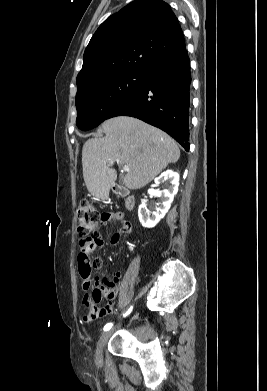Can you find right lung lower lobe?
Here are the masks:
<instances>
[{"mask_svg":"<svg viewBox=\"0 0 267 391\" xmlns=\"http://www.w3.org/2000/svg\"><path fill=\"white\" fill-rule=\"evenodd\" d=\"M191 73L186 48L145 71L141 88L108 118L127 115L156 126L189 150ZM107 118V119H108Z\"/></svg>","mask_w":267,"mask_h":391,"instance_id":"1","label":"right lung lower lobe"}]
</instances>
